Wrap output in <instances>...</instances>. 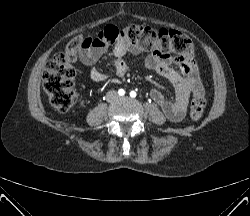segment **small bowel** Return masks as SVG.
Masks as SVG:
<instances>
[{
  "label": "small bowel",
  "mask_w": 250,
  "mask_h": 216,
  "mask_svg": "<svg viewBox=\"0 0 250 216\" xmlns=\"http://www.w3.org/2000/svg\"><path fill=\"white\" fill-rule=\"evenodd\" d=\"M105 50V46H88L81 49L79 53L82 63L91 67L90 78L96 83L106 82L109 78L108 75L94 67L105 53ZM127 53L139 55L141 49L131 46L123 40L117 41L112 49L115 76L117 78H122L128 70V65L124 59ZM145 67L167 78L173 84L176 93L174 101L166 99L156 89L151 91V98L161 107L169 120L173 122L181 121L186 115L190 95L194 93L204 94L196 64L191 59L173 58L159 49H154L147 56Z\"/></svg>",
  "instance_id": "obj_1"
}]
</instances>
